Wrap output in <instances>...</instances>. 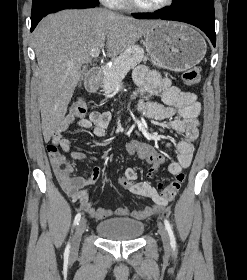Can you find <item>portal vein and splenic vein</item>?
<instances>
[{"instance_id":"1","label":"portal vein and splenic vein","mask_w":247,"mask_h":280,"mask_svg":"<svg viewBox=\"0 0 247 280\" xmlns=\"http://www.w3.org/2000/svg\"><path fill=\"white\" fill-rule=\"evenodd\" d=\"M100 52H101V49H94V50H92V51L90 52V56H91L92 58H96V57L99 56Z\"/></svg>"}]
</instances>
